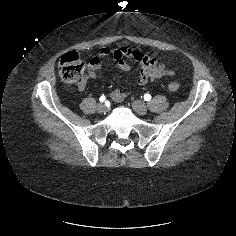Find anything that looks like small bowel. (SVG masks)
I'll return each instance as SVG.
<instances>
[{"label": "small bowel", "instance_id": "small-bowel-1", "mask_svg": "<svg viewBox=\"0 0 236 236\" xmlns=\"http://www.w3.org/2000/svg\"><path fill=\"white\" fill-rule=\"evenodd\" d=\"M109 56H112L117 61L116 67L120 71H128L131 69V65L125 61L124 58H128L140 65L139 76L135 82L136 86L156 82L161 78L170 77L174 74L173 70L159 62L157 58L148 55L142 50L122 46L113 51L103 48L97 56L91 59L89 63V73L92 78L97 77L98 71L103 68L104 60ZM84 88L85 83L78 85L79 90H83ZM124 96L125 94L119 90H115L111 93V97L114 100H122Z\"/></svg>", "mask_w": 236, "mask_h": 236}]
</instances>
